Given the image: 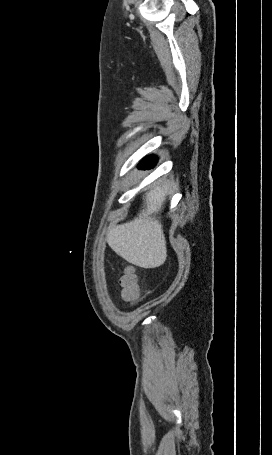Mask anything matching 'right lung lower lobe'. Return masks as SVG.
Masks as SVG:
<instances>
[{
    "label": "right lung lower lobe",
    "mask_w": 272,
    "mask_h": 455,
    "mask_svg": "<svg viewBox=\"0 0 272 455\" xmlns=\"http://www.w3.org/2000/svg\"><path fill=\"white\" fill-rule=\"evenodd\" d=\"M157 159L154 156H148L146 157L139 165L140 168L143 169H148L151 166L153 167L156 163Z\"/></svg>",
    "instance_id": "98d812e1"
}]
</instances>
